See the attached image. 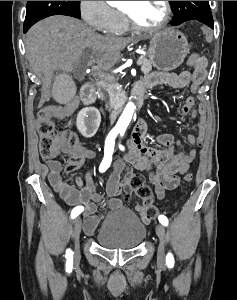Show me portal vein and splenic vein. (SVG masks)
Wrapping results in <instances>:
<instances>
[{
  "mask_svg": "<svg viewBox=\"0 0 237 300\" xmlns=\"http://www.w3.org/2000/svg\"><path fill=\"white\" fill-rule=\"evenodd\" d=\"M137 62H138L137 64H138L139 66L142 64L140 60H139V61H137Z\"/></svg>",
  "mask_w": 237,
  "mask_h": 300,
  "instance_id": "18ae733b",
  "label": "portal vein and splenic vein"
}]
</instances>
